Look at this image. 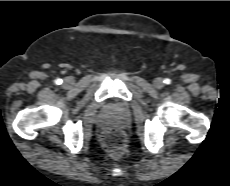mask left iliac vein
Masks as SVG:
<instances>
[{"mask_svg": "<svg viewBox=\"0 0 230 186\" xmlns=\"http://www.w3.org/2000/svg\"><path fill=\"white\" fill-rule=\"evenodd\" d=\"M153 85L155 88L157 89H160L164 86V81L162 78H156L154 81H153Z\"/></svg>", "mask_w": 230, "mask_h": 186, "instance_id": "4c4485c4", "label": "left iliac vein"}]
</instances>
